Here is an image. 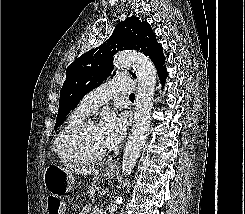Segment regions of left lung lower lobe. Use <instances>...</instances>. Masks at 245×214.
<instances>
[{"label":"left lung lower lobe","instance_id":"1","mask_svg":"<svg viewBox=\"0 0 245 214\" xmlns=\"http://www.w3.org/2000/svg\"><path fill=\"white\" fill-rule=\"evenodd\" d=\"M158 75H159V78H160V81H161L162 85H164L165 84V79L168 76L166 68H164Z\"/></svg>","mask_w":245,"mask_h":214}]
</instances>
